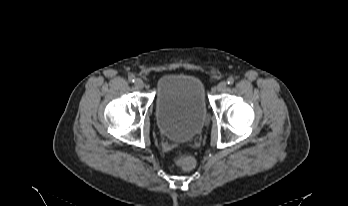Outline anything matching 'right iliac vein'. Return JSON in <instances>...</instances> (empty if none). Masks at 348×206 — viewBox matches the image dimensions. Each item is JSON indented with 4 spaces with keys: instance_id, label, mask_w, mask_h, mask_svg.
Returning <instances> with one entry per match:
<instances>
[{
    "instance_id": "63e3f726",
    "label": "right iliac vein",
    "mask_w": 348,
    "mask_h": 206,
    "mask_svg": "<svg viewBox=\"0 0 348 206\" xmlns=\"http://www.w3.org/2000/svg\"><path fill=\"white\" fill-rule=\"evenodd\" d=\"M135 87H136L137 89H142V88L144 87L143 81H142L141 79H136V81H135Z\"/></svg>"
}]
</instances>
